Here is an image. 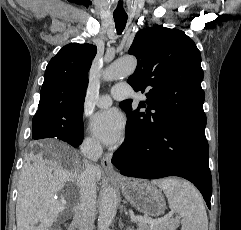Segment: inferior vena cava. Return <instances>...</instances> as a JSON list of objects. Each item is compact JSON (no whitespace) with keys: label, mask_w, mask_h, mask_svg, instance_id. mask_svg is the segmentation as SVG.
Returning <instances> with one entry per match:
<instances>
[{"label":"inferior vena cava","mask_w":241,"mask_h":230,"mask_svg":"<svg viewBox=\"0 0 241 230\" xmlns=\"http://www.w3.org/2000/svg\"><path fill=\"white\" fill-rule=\"evenodd\" d=\"M83 153L89 159L97 158L102 153L100 144H88ZM80 197L75 207L73 223L79 230H94L96 216V180L93 165L86 163V168L79 176Z\"/></svg>","instance_id":"obj_1"}]
</instances>
